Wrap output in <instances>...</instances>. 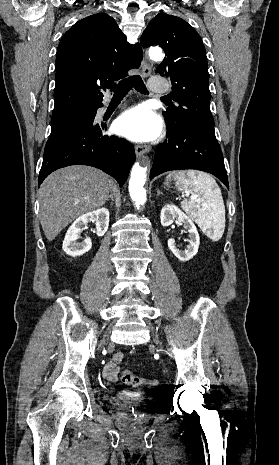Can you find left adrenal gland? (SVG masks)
Returning a JSON list of instances; mask_svg holds the SVG:
<instances>
[{
  "label": "left adrenal gland",
  "mask_w": 279,
  "mask_h": 465,
  "mask_svg": "<svg viewBox=\"0 0 279 465\" xmlns=\"http://www.w3.org/2000/svg\"><path fill=\"white\" fill-rule=\"evenodd\" d=\"M160 195H163V193H162V192H160V190H159V189H157V197H159Z\"/></svg>",
  "instance_id": "obj_1"
}]
</instances>
